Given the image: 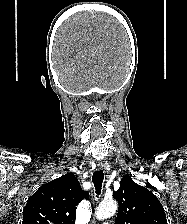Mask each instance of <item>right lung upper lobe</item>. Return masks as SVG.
Returning a JSON list of instances; mask_svg holds the SVG:
<instances>
[{
  "instance_id": "right-lung-upper-lobe-1",
  "label": "right lung upper lobe",
  "mask_w": 187,
  "mask_h": 224,
  "mask_svg": "<svg viewBox=\"0 0 187 224\" xmlns=\"http://www.w3.org/2000/svg\"><path fill=\"white\" fill-rule=\"evenodd\" d=\"M88 192L82 191L72 173L43 184L23 210L22 224H74L75 207Z\"/></svg>"
}]
</instances>
